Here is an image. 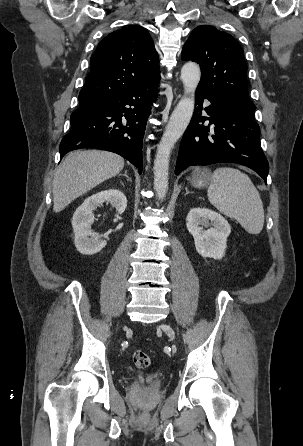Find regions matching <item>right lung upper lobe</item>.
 <instances>
[{
    "instance_id": "obj_1",
    "label": "right lung upper lobe",
    "mask_w": 303,
    "mask_h": 446,
    "mask_svg": "<svg viewBox=\"0 0 303 446\" xmlns=\"http://www.w3.org/2000/svg\"><path fill=\"white\" fill-rule=\"evenodd\" d=\"M160 80L159 57L149 32L132 25L108 34L91 57L80 105Z\"/></svg>"
}]
</instances>
